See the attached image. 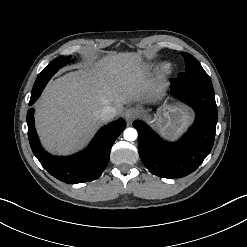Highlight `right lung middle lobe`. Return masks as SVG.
<instances>
[{"label": "right lung middle lobe", "mask_w": 247, "mask_h": 247, "mask_svg": "<svg viewBox=\"0 0 247 247\" xmlns=\"http://www.w3.org/2000/svg\"><path fill=\"white\" fill-rule=\"evenodd\" d=\"M71 56L68 57H59L54 59L48 66L38 75L31 96H34L35 93L44 89L50 78L64 65L70 62Z\"/></svg>", "instance_id": "dd1d6c3e"}]
</instances>
